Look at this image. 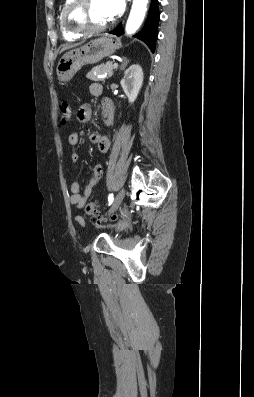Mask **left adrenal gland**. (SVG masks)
Wrapping results in <instances>:
<instances>
[{
  "label": "left adrenal gland",
  "instance_id": "1",
  "mask_svg": "<svg viewBox=\"0 0 254 397\" xmlns=\"http://www.w3.org/2000/svg\"><path fill=\"white\" fill-rule=\"evenodd\" d=\"M122 59H123V63L120 66V70H124L125 67L127 66L128 62H129V60H127L126 57H122Z\"/></svg>",
  "mask_w": 254,
  "mask_h": 397
}]
</instances>
